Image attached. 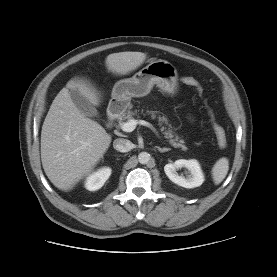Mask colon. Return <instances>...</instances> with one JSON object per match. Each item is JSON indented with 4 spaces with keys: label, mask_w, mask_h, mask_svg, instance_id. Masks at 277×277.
<instances>
[{
    "label": "colon",
    "mask_w": 277,
    "mask_h": 277,
    "mask_svg": "<svg viewBox=\"0 0 277 277\" xmlns=\"http://www.w3.org/2000/svg\"><path fill=\"white\" fill-rule=\"evenodd\" d=\"M182 81L186 85L196 88L200 93L202 92V88L195 78L190 77V76H185L182 78ZM208 115H209L210 123H211L212 129H213L217 144L221 149H225L228 144V138H227L226 131L223 128V126L220 123H218L213 111L210 108H208Z\"/></svg>",
    "instance_id": "5ec220e1"
}]
</instances>
